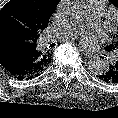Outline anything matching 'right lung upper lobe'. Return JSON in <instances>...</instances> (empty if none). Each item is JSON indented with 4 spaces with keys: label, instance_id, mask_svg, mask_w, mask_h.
Masks as SVG:
<instances>
[{
    "label": "right lung upper lobe",
    "instance_id": "1",
    "mask_svg": "<svg viewBox=\"0 0 118 118\" xmlns=\"http://www.w3.org/2000/svg\"><path fill=\"white\" fill-rule=\"evenodd\" d=\"M60 0H34L36 4V14L39 22L41 23V29L27 38H19L15 31L3 22H0V41L4 39L17 38L21 43L34 48L37 51L36 65L34 69L37 72H42L51 62V51L40 49L38 46V39L42 31L48 26V21L55 11L57 4Z\"/></svg>",
    "mask_w": 118,
    "mask_h": 118
}]
</instances>
